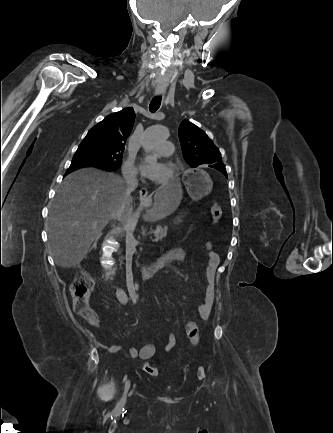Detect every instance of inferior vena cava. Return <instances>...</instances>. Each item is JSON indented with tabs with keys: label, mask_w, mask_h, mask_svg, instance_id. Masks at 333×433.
Masks as SVG:
<instances>
[{
	"label": "inferior vena cava",
	"mask_w": 333,
	"mask_h": 433,
	"mask_svg": "<svg viewBox=\"0 0 333 433\" xmlns=\"http://www.w3.org/2000/svg\"><path fill=\"white\" fill-rule=\"evenodd\" d=\"M124 180L127 184V193H130L132 190H134L138 186V181L136 178V174L133 172H125L123 174ZM114 220L120 218V214L117 213L113 215L112 217Z\"/></svg>",
	"instance_id": "inferior-vena-cava-1"
}]
</instances>
